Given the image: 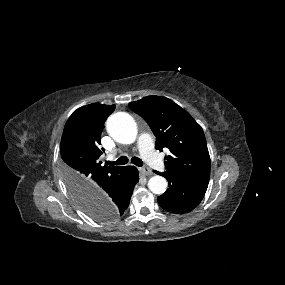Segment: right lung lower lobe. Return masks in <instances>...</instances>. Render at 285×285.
Listing matches in <instances>:
<instances>
[{
	"label": "right lung lower lobe",
	"instance_id": "98d812e1",
	"mask_svg": "<svg viewBox=\"0 0 285 285\" xmlns=\"http://www.w3.org/2000/svg\"><path fill=\"white\" fill-rule=\"evenodd\" d=\"M138 181L137 168L127 166L122 174L103 185L102 190L90 197L89 201L94 205L110 207L117 216L123 215Z\"/></svg>",
	"mask_w": 285,
	"mask_h": 285
}]
</instances>
